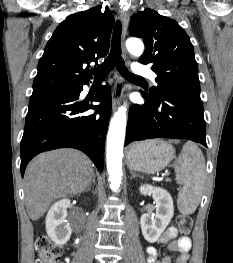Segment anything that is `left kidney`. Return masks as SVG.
<instances>
[{"label":"left kidney","instance_id":"obj_1","mask_svg":"<svg viewBox=\"0 0 233 263\" xmlns=\"http://www.w3.org/2000/svg\"><path fill=\"white\" fill-rule=\"evenodd\" d=\"M139 191L143 195H152L156 203L155 214L145 213L142 214L140 218V225L144 238L149 243H155L173 217V199L165 189L148 184L141 185Z\"/></svg>","mask_w":233,"mask_h":263}]
</instances>
